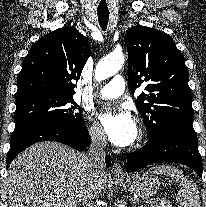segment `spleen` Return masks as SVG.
Returning a JSON list of instances; mask_svg holds the SVG:
<instances>
[{"instance_id": "1", "label": "spleen", "mask_w": 206, "mask_h": 207, "mask_svg": "<svg viewBox=\"0 0 206 207\" xmlns=\"http://www.w3.org/2000/svg\"><path fill=\"white\" fill-rule=\"evenodd\" d=\"M149 172L174 178L179 183L177 194L178 207H201L200 195L196 185L174 166L160 165L152 167Z\"/></svg>"}]
</instances>
